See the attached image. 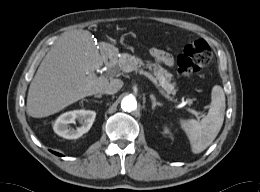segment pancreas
Wrapping results in <instances>:
<instances>
[{"instance_id": "obj_1", "label": "pancreas", "mask_w": 260, "mask_h": 192, "mask_svg": "<svg viewBox=\"0 0 260 192\" xmlns=\"http://www.w3.org/2000/svg\"><path fill=\"white\" fill-rule=\"evenodd\" d=\"M125 66H144L148 68L156 76L157 80L168 94H175V84L171 83L172 74L159 64L151 63L150 61H146L145 64L139 57L128 53H123L118 60V67L122 69Z\"/></svg>"}]
</instances>
